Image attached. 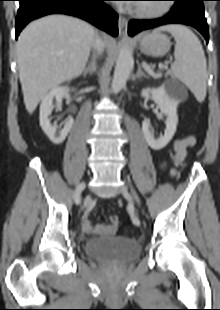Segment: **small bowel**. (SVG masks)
Masks as SVG:
<instances>
[{
	"instance_id": "small-bowel-1",
	"label": "small bowel",
	"mask_w": 220,
	"mask_h": 310,
	"mask_svg": "<svg viewBox=\"0 0 220 310\" xmlns=\"http://www.w3.org/2000/svg\"><path fill=\"white\" fill-rule=\"evenodd\" d=\"M195 144V138L193 136H187L182 139H178L173 144V152H174V161L175 168H172L169 171L171 177H175L177 175V167L182 163L184 158L187 155L188 149ZM160 169H166V164L164 162L160 163ZM82 230L87 233H96L99 235L109 236L115 232V227L106 224H100L94 226L91 221L84 217L81 221Z\"/></svg>"
}]
</instances>
